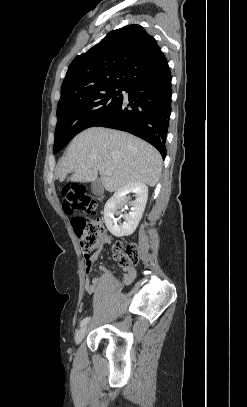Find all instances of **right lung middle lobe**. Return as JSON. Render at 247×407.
<instances>
[{"instance_id":"right-lung-middle-lobe-1","label":"right lung middle lobe","mask_w":247,"mask_h":407,"mask_svg":"<svg viewBox=\"0 0 247 407\" xmlns=\"http://www.w3.org/2000/svg\"><path fill=\"white\" fill-rule=\"evenodd\" d=\"M123 90L125 87H109L57 107L53 153L64 148L79 132L108 116L123 100Z\"/></svg>"}]
</instances>
